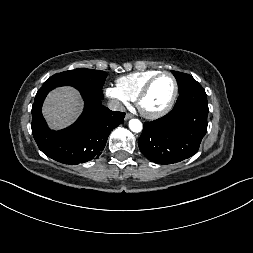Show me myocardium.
<instances>
[{
	"label": "myocardium",
	"instance_id": "f54148a6",
	"mask_svg": "<svg viewBox=\"0 0 253 253\" xmlns=\"http://www.w3.org/2000/svg\"><path fill=\"white\" fill-rule=\"evenodd\" d=\"M169 76L172 78L173 80V84H174V89H173V93L172 96L169 100V102L167 103V105L162 108L161 110L155 111V112H150L144 109L142 102L144 100V98L147 96V94L149 93L152 85L154 84V82L162 77V76ZM178 92H179V85H178V81L176 79V77L174 76V74H172L171 72L168 71H162L157 73L155 76H153L151 79H149L146 84L142 87V89L140 90V92L138 93L136 99H135V103H136V107L138 109V111L147 119H158L161 118L163 116H165L166 114H168L172 108L175 105V102L177 100L178 97Z\"/></svg>",
	"mask_w": 253,
	"mask_h": 253
}]
</instances>
